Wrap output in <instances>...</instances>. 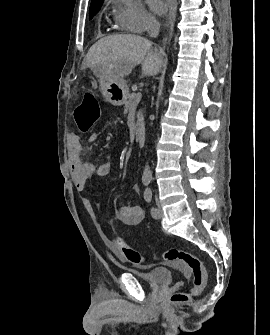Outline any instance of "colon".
Listing matches in <instances>:
<instances>
[{
	"label": "colon",
	"instance_id": "5ec220e1",
	"mask_svg": "<svg viewBox=\"0 0 270 335\" xmlns=\"http://www.w3.org/2000/svg\"><path fill=\"white\" fill-rule=\"evenodd\" d=\"M101 116V109L98 99L92 94H85L80 105L73 110L75 123L79 131L88 133L98 122ZM117 254L128 263L136 266H143L146 260L143 255L129 246L118 242ZM164 259L169 260L172 265L188 270L192 276V287L189 292L175 293L171 300L173 303L186 302L191 297L199 296L206 287L207 276L204 265L200 258L183 248H170L163 254Z\"/></svg>",
	"mask_w": 270,
	"mask_h": 335
}]
</instances>
